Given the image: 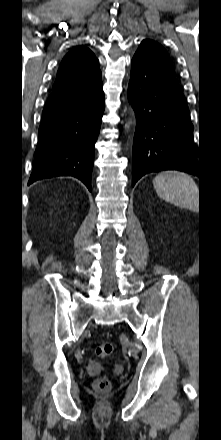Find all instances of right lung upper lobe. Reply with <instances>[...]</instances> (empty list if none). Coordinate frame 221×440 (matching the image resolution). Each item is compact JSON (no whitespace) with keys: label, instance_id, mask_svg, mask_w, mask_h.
<instances>
[{"label":"right lung upper lobe","instance_id":"1","mask_svg":"<svg viewBox=\"0 0 221 440\" xmlns=\"http://www.w3.org/2000/svg\"><path fill=\"white\" fill-rule=\"evenodd\" d=\"M101 80L98 59L85 46H78L62 60L52 91L88 87Z\"/></svg>","mask_w":221,"mask_h":440}]
</instances>
